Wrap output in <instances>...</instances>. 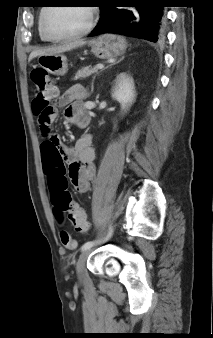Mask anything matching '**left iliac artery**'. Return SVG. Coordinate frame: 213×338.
<instances>
[{
    "label": "left iliac artery",
    "instance_id": "44dca946",
    "mask_svg": "<svg viewBox=\"0 0 213 338\" xmlns=\"http://www.w3.org/2000/svg\"><path fill=\"white\" fill-rule=\"evenodd\" d=\"M112 233H113V228L110 227L109 232H108V234L106 235V237H105L103 240L99 241V242H105V241H108V240L111 238ZM96 243H98V241H88V242H86V243L83 244V246L81 247V251H85V250L90 249V248L93 247Z\"/></svg>",
    "mask_w": 213,
    "mask_h": 338
}]
</instances>
